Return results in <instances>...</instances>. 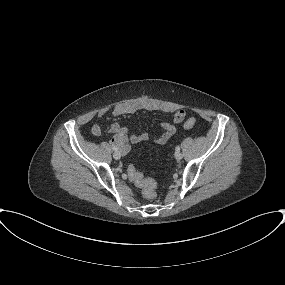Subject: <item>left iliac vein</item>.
Masks as SVG:
<instances>
[{
	"label": "left iliac vein",
	"mask_w": 285,
	"mask_h": 285,
	"mask_svg": "<svg viewBox=\"0 0 285 285\" xmlns=\"http://www.w3.org/2000/svg\"><path fill=\"white\" fill-rule=\"evenodd\" d=\"M175 158H176L177 160H181V159L183 158L182 153H181L180 151H176V152H175Z\"/></svg>",
	"instance_id": "4c4485c4"
}]
</instances>
